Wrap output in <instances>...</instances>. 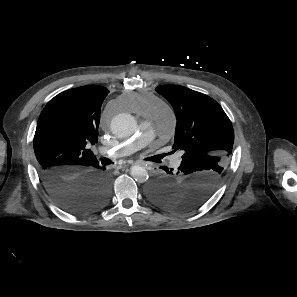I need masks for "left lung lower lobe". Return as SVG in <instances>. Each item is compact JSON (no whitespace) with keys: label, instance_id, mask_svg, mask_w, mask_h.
<instances>
[{"label":"left lung lower lobe","instance_id":"0a47b994","mask_svg":"<svg viewBox=\"0 0 297 297\" xmlns=\"http://www.w3.org/2000/svg\"><path fill=\"white\" fill-rule=\"evenodd\" d=\"M163 170L166 171L168 174H173V172L169 171L166 167H162ZM179 172L181 169L178 170ZM171 175H166L164 177H160L156 179L150 186L149 189L154 190V189H168L170 187V179Z\"/></svg>","mask_w":297,"mask_h":297}]
</instances>
